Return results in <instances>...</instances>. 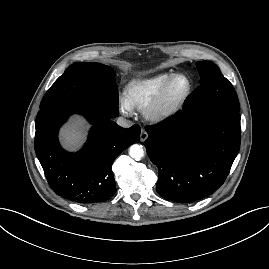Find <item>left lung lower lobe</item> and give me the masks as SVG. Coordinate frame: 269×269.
<instances>
[{"mask_svg": "<svg viewBox=\"0 0 269 269\" xmlns=\"http://www.w3.org/2000/svg\"><path fill=\"white\" fill-rule=\"evenodd\" d=\"M146 131L144 145L158 167V194L174 202H195L227 178L239 151L240 114L233 108L193 115L178 112Z\"/></svg>", "mask_w": 269, "mask_h": 269, "instance_id": "1", "label": "left lung lower lobe"}]
</instances>
